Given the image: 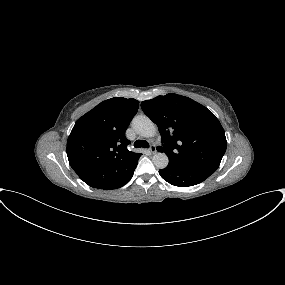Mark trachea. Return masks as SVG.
<instances>
[{
  "instance_id": "3493384b",
  "label": "trachea",
  "mask_w": 285,
  "mask_h": 285,
  "mask_svg": "<svg viewBox=\"0 0 285 285\" xmlns=\"http://www.w3.org/2000/svg\"><path fill=\"white\" fill-rule=\"evenodd\" d=\"M134 147L135 148H149V143L145 140H136L134 142Z\"/></svg>"
}]
</instances>
